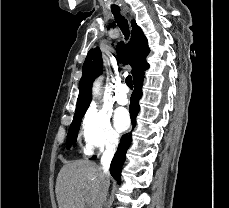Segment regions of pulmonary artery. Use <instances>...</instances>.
Wrapping results in <instances>:
<instances>
[{"instance_id":"pulmonary-artery-1","label":"pulmonary artery","mask_w":229,"mask_h":208,"mask_svg":"<svg viewBox=\"0 0 229 208\" xmlns=\"http://www.w3.org/2000/svg\"><path fill=\"white\" fill-rule=\"evenodd\" d=\"M118 101L121 104H127L129 102V89L125 83L120 85Z\"/></svg>"}]
</instances>
